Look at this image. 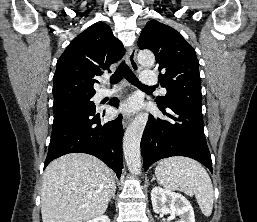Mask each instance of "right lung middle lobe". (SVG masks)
Masks as SVG:
<instances>
[{
  "label": "right lung middle lobe",
  "instance_id": "1",
  "mask_svg": "<svg viewBox=\"0 0 257 222\" xmlns=\"http://www.w3.org/2000/svg\"><path fill=\"white\" fill-rule=\"evenodd\" d=\"M93 96L66 99L53 103L54 120L71 114L95 113L96 107L91 101Z\"/></svg>",
  "mask_w": 257,
  "mask_h": 222
}]
</instances>
